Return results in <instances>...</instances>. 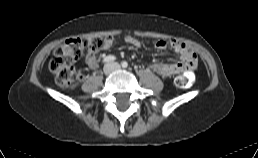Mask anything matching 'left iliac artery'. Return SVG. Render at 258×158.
Segmentation results:
<instances>
[{
  "label": "left iliac artery",
  "instance_id": "44dca946",
  "mask_svg": "<svg viewBox=\"0 0 258 158\" xmlns=\"http://www.w3.org/2000/svg\"><path fill=\"white\" fill-rule=\"evenodd\" d=\"M121 65H122L123 68H127L128 63H127L126 61H123V62L121 63Z\"/></svg>",
  "mask_w": 258,
  "mask_h": 158
}]
</instances>
